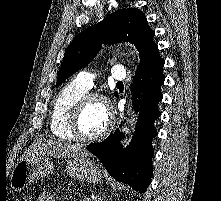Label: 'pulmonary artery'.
Returning <instances> with one entry per match:
<instances>
[{"label":"pulmonary artery","mask_w":221,"mask_h":201,"mask_svg":"<svg viewBox=\"0 0 221 201\" xmlns=\"http://www.w3.org/2000/svg\"><path fill=\"white\" fill-rule=\"evenodd\" d=\"M111 77L114 80L122 82L126 78V71L124 67L120 65L114 66L111 70ZM94 79L95 75L93 73L80 72L75 78V83L78 84L80 87L89 90L93 86Z\"/></svg>","instance_id":"e3ab8cb5"}]
</instances>
